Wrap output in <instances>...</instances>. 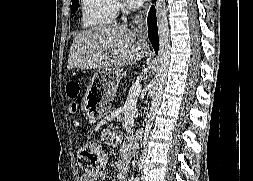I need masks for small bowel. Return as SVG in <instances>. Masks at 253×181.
I'll use <instances>...</instances> for the list:
<instances>
[{
  "instance_id": "1",
  "label": "small bowel",
  "mask_w": 253,
  "mask_h": 181,
  "mask_svg": "<svg viewBox=\"0 0 253 181\" xmlns=\"http://www.w3.org/2000/svg\"><path fill=\"white\" fill-rule=\"evenodd\" d=\"M101 137L106 144L111 145L114 143L115 133L113 130L105 129L102 131ZM129 159V151L128 149H125L122 158L117 160L115 163L116 179L118 181H127L129 173ZM101 179H103L102 173L94 176H84L81 178V181H100Z\"/></svg>"
}]
</instances>
